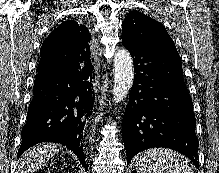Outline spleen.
<instances>
[{
    "mask_svg": "<svg viewBox=\"0 0 219 173\" xmlns=\"http://www.w3.org/2000/svg\"><path fill=\"white\" fill-rule=\"evenodd\" d=\"M137 173H194L184 158L169 149H149L133 158Z\"/></svg>",
    "mask_w": 219,
    "mask_h": 173,
    "instance_id": "obj_1",
    "label": "spleen"
}]
</instances>
